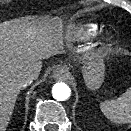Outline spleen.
I'll return each mask as SVG.
<instances>
[{
  "label": "spleen",
  "mask_w": 131,
  "mask_h": 131,
  "mask_svg": "<svg viewBox=\"0 0 131 131\" xmlns=\"http://www.w3.org/2000/svg\"><path fill=\"white\" fill-rule=\"evenodd\" d=\"M102 113L112 122L124 124L131 122V87L120 97L100 104Z\"/></svg>",
  "instance_id": "3e777b00"
}]
</instances>
